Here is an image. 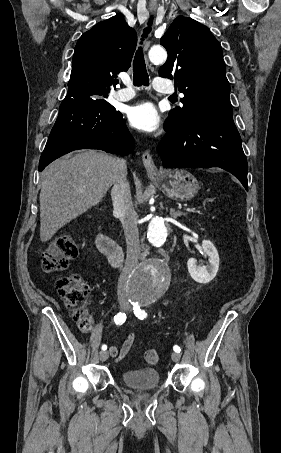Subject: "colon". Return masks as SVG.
Instances as JSON below:
<instances>
[{
	"mask_svg": "<svg viewBox=\"0 0 281 453\" xmlns=\"http://www.w3.org/2000/svg\"><path fill=\"white\" fill-rule=\"evenodd\" d=\"M82 253V248L71 238L52 239L44 248L43 268L58 274L57 287L68 306L79 315V326L85 330L90 328V318L85 305L89 287L84 279L66 274L69 270V260L81 256ZM142 358L147 363L161 361L159 352L154 349H144Z\"/></svg>",
	"mask_w": 281,
	"mask_h": 453,
	"instance_id": "1",
	"label": "colon"
}]
</instances>
